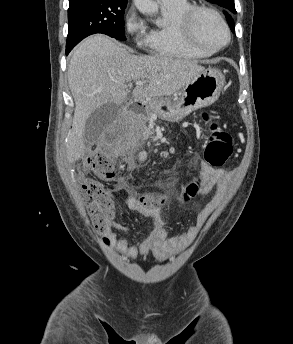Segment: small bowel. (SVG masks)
<instances>
[{"mask_svg": "<svg viewBox=\"0 0 293 344\" xmlns=\"http://www.w3.org/2000/svg\"><path fill=\"white\" fill-rule=\"evenodd\" d=\"M190 126V124H188ZM232 174L225 170H217L208 166L205 162L201 164V176L198 181V193L208 194L218 183H228ZM122 190L121 183L115 187L116 192ZM222 193L202 208L195 216L194 222L184 231L178 234H169L165 227L163 211L157 206L143 205L135 195L124 198L126 206L131 210L143 211L151 219V228L145 233L141 243H130L125 234L128 229L113 219L108 220L102 230V241L108 248L116 250L123 257L133 260L138 255L147 256L149 253L158 260L165 261L180 253L189 246L199 230L203 227L210 214L216 209ZM115 231L123 233L117 236Z\"/></svg>", "mask_w": 293, "mask_h": 344, "instance_id": "small-bowel-1", "label": "small bowel"}]
</instances>
